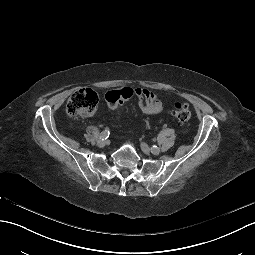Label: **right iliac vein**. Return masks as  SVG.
<instances>
[{"label":"right iliac vein","mask_w":255,"mask_h":255,"mask_svg":"<svg viewBox=\"0 0 255 255\" xmlns=\"http://www.w3.org/2000/svg\"><path fill=\"white\" fill-rule=\"evenodd\" d=\"M106 143H107V141H105V140H98V142H97V145L99 146V147H103V146H105L106 145Z\"/></svg>","instance_id":"right-iliac-vein-1"}]
</instances>
